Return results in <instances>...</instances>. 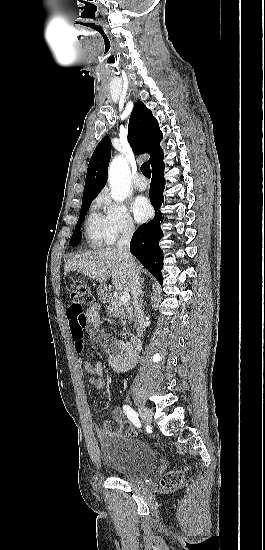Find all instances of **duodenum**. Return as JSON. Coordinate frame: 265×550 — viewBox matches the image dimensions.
<instances>
[{
  "label": "duodenum",
  "mask_w": 265,
  "mask_h": 550,
  "mask_svg": "<svg viewBox=\"0 0 265 550\" xmlns=\"http://www.w3.org/2000/svg\"><path fill=\"white\" fill-rule=\"evenodd\" d=\"M127 345L132 349V350H138L140 348V340L136 337H132L128 340L127 342Z\"/></svg>",
  "instance_id": "duodenum-1"
}]
</instances>
